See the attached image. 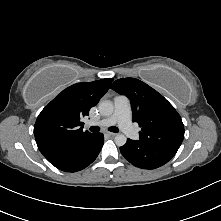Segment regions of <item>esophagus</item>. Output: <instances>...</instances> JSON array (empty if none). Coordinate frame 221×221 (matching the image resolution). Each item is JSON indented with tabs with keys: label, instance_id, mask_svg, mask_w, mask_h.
<instances>
[{
	"label": "esophagus",
	"instance_id": "obj_1",
	"mask_svg": "<svg viewBox=\"0 0 221 221\" xmlns=\"http://www.w3.org/2000/svg\"><path fill=\"white\" fill-rule=\"evenodd\" d=\"M106 134L109 135V136H115L116 135V133H113V132H107Z\"/></svg>",
	"mask_w": 221,
	"mask_h": 221
}]
</instances>
